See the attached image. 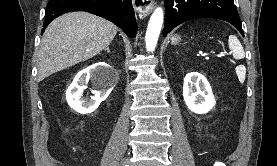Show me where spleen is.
Wrapping results in <instances>:
<instances>
[{
  "mask_svg": "<svg viewBox=\"0 0 277 166\" xmlns=\"http://www.w3.org/2000/svg\"><path fill=\"white\" fill-rule=\"evenodd\" d=\"M228 45L235 59H243L245 57L244 49L236 36H229Z\"/></svg>",
  "mask_w": 277,
  "mask_h": 166,
  "instance_id": "obj_1",
  "label": "spleen"
}]
</instances>
